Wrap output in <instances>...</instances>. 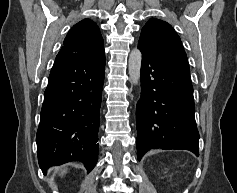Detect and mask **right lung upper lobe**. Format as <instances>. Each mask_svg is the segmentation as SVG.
Segmentation results:
<instances>
[{
  "label": "right lung upper lobe",
  "instance_id": "right-lung-upper-lobe-1",
  "mask_svg": "<svg viewBox=\"0 0 237 193\" xmlns=\"http://www.w3.org/2000/svg\"><path fill=\"white\" fill-rule=\"evenodd\" d=\"M103 44L97 24L84 19L70 29L60 52L81 59L98 58L105 55Z\"/></svg>",
  "mask_w": 237,
  "mask_h": 193
}]
</instances>
